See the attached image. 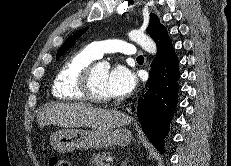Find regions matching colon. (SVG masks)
Here are the masks:
<instances>
[{"instance_id": "colon-1", "label": "colon", "mask_w": 231, "mask_h": 166, "mask_svg": "<svg viewBox=\"0 0 231 166\" xmlns=\"http://www.w3.org/2000/svg\"><path fill=\"white\" fill-rule=\"evenodd\" d=\"M49 166H72V164L68 160L53 156L49 159Z\"/></svg>"}]
</instances>
